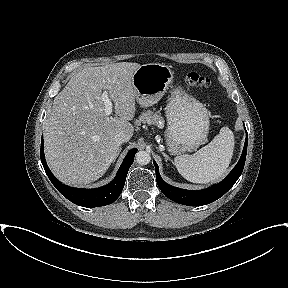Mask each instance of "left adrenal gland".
Returning <instances> with one entry per match:
<instances>
[{
    "label": "left adrenal gland",
    "mask_w": 288,
    "mask_h": 288,
    "mask_svg": "<svg viewBox=\"0 0 288 288\" xmlns=\"http://www.w3.org/2000/svg\"><path fill=\"white\" fill-rule=\"evenodd\" d=\"M163 156L165 157V160H170L171 162H173V160L167 155L165 154L164 152H162Z\"/></svg>",
    "instance_id": "1"
}]
</instances>
